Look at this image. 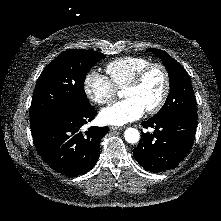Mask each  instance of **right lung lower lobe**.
<instances>
[{
	"label": "right lung lower lobe",
	"instance_id": "obj_1",
	"mask_svg": "<svg viewBox=\"0 0 221 221\" xmlns=\"http://www.w3.org/2000/svg\"><path fill=\"white\" fill-rule=\"evenodd\" d=\"M95 109L64 110L51 114L31 126L35 147L42 159L55 171L73 177L85 174L100 156V139L106 127L80 128L94 119Z\"/></svg>",
	"mask_w": 221,
	"mask_h": 221
}]
</instances>
